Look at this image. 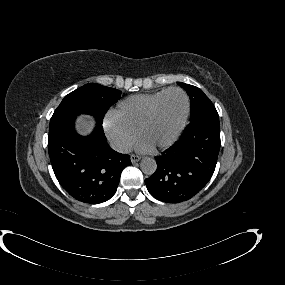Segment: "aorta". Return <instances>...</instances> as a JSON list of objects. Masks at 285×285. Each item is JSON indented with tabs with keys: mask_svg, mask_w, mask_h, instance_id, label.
<instances>
[{
	"mask_svg": "<svg viewBox=\"0 0 285 285\" xmlns=\"http://www.w3.org/2000/svg\"><path fill=\"white\" fill-rule=\"evenodd\" d=\"M140 168L144 174L152 175L157 169L156 160L151 157H145L141 160Z\"/></svg>",
	"mask_w": 285,
	"mask_h": 285,
	"instance_id": "aorta-1",
	"label": "aorta"
}]
</instances>
